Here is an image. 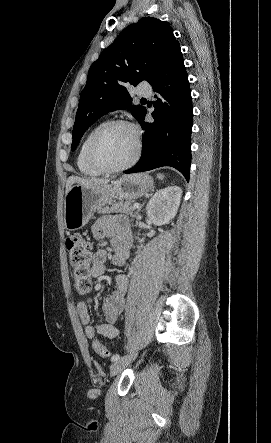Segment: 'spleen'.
I'll use <instances>...</instances> for the list:
<instances>
[{"mask_svg":"<svg viewBox=\"0 0 271 443\" xmlns=\"http://www.w3.org/2000/svg\"><path fill=\"white\" fill-rule=\"evenodd\" d=\"M158 180H164L165 176L163 174H157Z\"/></svg>","mask_w":271,"mask_h":443,"instance_id":"1","label":"spleen"}]
</instances>
